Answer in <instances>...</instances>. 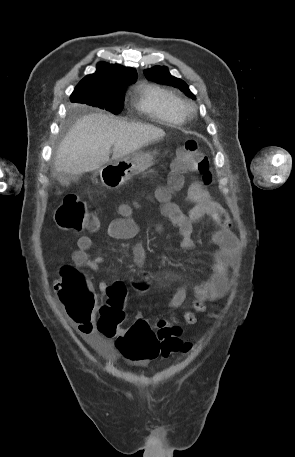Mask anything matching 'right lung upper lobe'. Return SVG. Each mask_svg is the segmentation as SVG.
<instances>
[{
    "label": "right lung upper lobe",
    "mask_w": 295,
    "mask_h": 457,
    "mask_svg": "<svg viewBox=\"0 0 295 457\" xmlns=\"http://www.w3.org/2000/svg\"><path fill=\"white\" fill-rule=\"evenodd\" d=\"M136 78L137 72L133 68L101 62L97 64L96 72L84 77L77 87L94 90H117L127 87Z\"/></svg>",
    "instance_id": "obj_1"
}]
</instances>
